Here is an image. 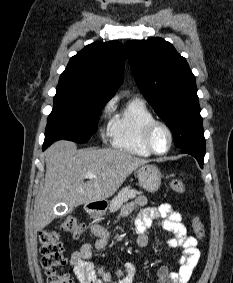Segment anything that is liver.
I'll return each instance as SVG.
<instances>
[{"instance_id":"liver-1","label":"liver","mask_w":233,"mask_h":283,"mask_svg":"<svg viewBox=\"0 0 233 283\" xmlns=\"http://www.w3.org/2000/svg\"><path fill=\"white\" fill-rule=\"evenodd\" d=\"M45 162V184L36 198L37 231L56 218L57 203L72 209L109 198L134 170L149 161L115 149L77 150L74 142L60 140L46 150ZM87 173H94L95 178L84 182Z\"/></svg>"}]
</instances>
